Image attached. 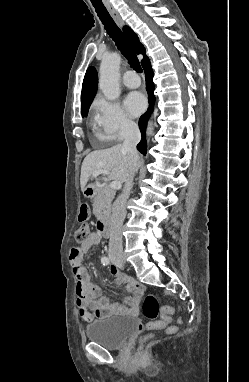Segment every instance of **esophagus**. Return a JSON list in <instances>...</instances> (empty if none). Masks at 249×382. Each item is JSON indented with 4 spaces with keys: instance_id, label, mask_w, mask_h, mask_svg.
I'll list each match as a JSON object with an SVG mask.
<instances>
[{
    "instance_id": "obj_1",
    "label": "esophagus",
    "mask_w": 249,
    "mask_h": 382,
    "mask_svg": "<svg viewBox=\"0 0 249 382\" xmlns=\"http://www.w3.org/2000/svg\"><path fill=\"white\" fill-rule=\"evenodd\" d=\"M105 6H106L107 10L109 11V13L111 14V16L113 17V19L115 20V22L120 27H123L124 21L122 20L121 16L117 12V10L110 3H105Z\"/></svg>"
}]
</instances>
